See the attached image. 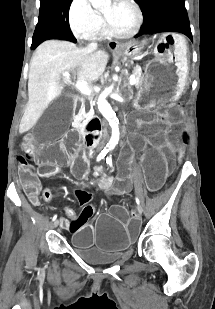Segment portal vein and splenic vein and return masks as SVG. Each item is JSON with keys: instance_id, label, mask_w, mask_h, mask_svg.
Instances as JSON below:
<instances>
[{"instance_id": "1", "label": "portal vein and splenic vein", "mask_w": 215, "mask_h": 309, "mask_svg": "<svg viewBox=\"0 0 215 309\" xmlns=\"http://www.w3.org/2000/svg\"><path fill=\"white\" fill-rule=\"evenodd\" d=\"M63 76H68L69 72H62ZM130 84H134V82H136V78L134 76V74H132V76H130V80H129ZM76 86L77 88H79V90H81L82 94H91V90L89 88V86H85V84H81V82H76Z\"/></svg>"}]
</instances>
